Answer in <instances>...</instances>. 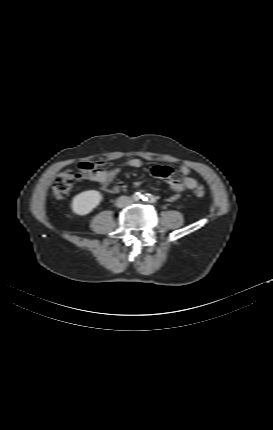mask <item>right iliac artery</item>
Returning a JSON list of instances; mask_svg holds the SVG:
<instances>
[{
	"instance_id": "82829eb1",
	"label": "right iliac artery",
	"mask_w": 273,
	"mask_h": 430,
	"mask_svg": "<svg viewBox=\"0 0 273 430\" xmlns=\"http://www.w3.org/2000/svg\"><path fill=\"white\" fill-rule=\"evenodd\" d=\"M133 197L137 201V200L143 199L144 195H142L141 193L137 192V193L134 194Z\"/></svg>"
}]
</instances>
